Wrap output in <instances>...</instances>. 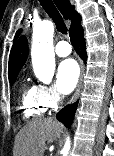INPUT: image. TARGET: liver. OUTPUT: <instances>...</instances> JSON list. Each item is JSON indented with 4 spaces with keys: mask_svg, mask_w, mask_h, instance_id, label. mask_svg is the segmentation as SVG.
Returning a JSON list of instances; mask_svg holds the SVG:
<instances>
[{
    "mask_svg": "<svg viewBox=\"0 0 114 156\" xmlns=\"http://www.w3.org/2000/svg\"><path fill=\"white\" fill-rule=\"evenodd\" d=\"M63 125L52 119L29 121L15 138L13 156H43L46 142L60 137Z\"/></svg>",
    "mask_w": 114,
    "mask_h": 156,
    "instance_id": "obj_1",
    "label": "liver"
}]
</instances>
